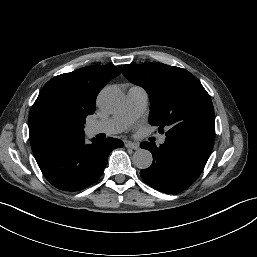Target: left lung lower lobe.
<instances>
[{
	"label": "left lung lower lobe",
	"instance_id": "left-lung-lower-lobe-1",
	"mask_svg": "<svg viewBox=\"0 0 257 257\" xmlns=\"http://www.w3.org/2000/svg\"><path fill=\"white\" fill-rule=\"evenodd\" d=\"M214 133H185L166 137L157 147L142 142L140 147L153 155L152 165L140 171L142 179L154 189L176 194L193 184L203 171L213 149Z\"/></svg>",
	"mask_w": 257,
	"mask_h": 257
}]
</instances>
